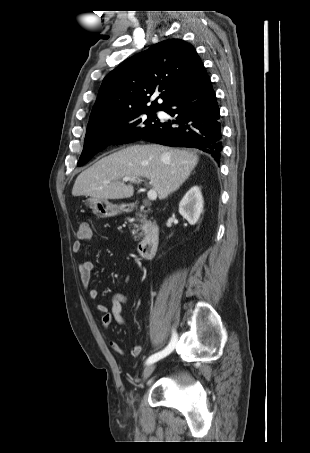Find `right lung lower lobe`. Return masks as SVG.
Returning a JSON list of instances; mask_svg holds the SVG:
<instances>
[{
  "label": "right lung lower lobe",
  "instance_id": "obj_1",
  "mask_svg": "<svg viewBox=\"0 0 310 453\" xmlns=\"http://www.w3.org/2000/svg\"><path fill=\"white\" fill-rule=\"evenodd\" d=\"M161 110L176 115L177 120L159 122L141 139L168 146L198 148L220 162V111L204 67Z\"/></svg>",
  "mask_w": 310,
  "mask_h": 453
}]
</instances>
